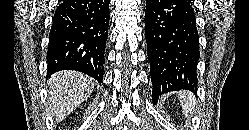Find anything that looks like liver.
Here are the masks:
<instances>
[{"label": "liver", "instance_id": "1", "mask_svg": "<svg viewBox=\"0 0 249 130\" xmlns=\"http://www.w3.org/2000/svg\"><path fill=\"white\" fill-rule=\"evenodd\" d=\"M93 78L79 72L61 71L49 79V110L56 122L75 110L94 89Z\"/></svg>", "mask_w": 249, "mask_h": 130}]
</instances>
